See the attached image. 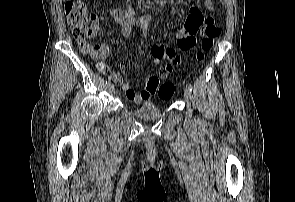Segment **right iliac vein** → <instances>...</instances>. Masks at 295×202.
Here are the masks:
<instances>
[{"label":"right iliac vein","instance_id":"1","mask_svg":"<svg viewBox=\"0 0 295 202\" xmlns=\"http://www.w3.org/2000/svg\"><path fill=\"white\" fill-rule=\"evenodd\" d=\"M108 89L111 90V91H114L115 90V87L113 84H110L108 85Z\"/></svg>","mask_w":295,"mask_h":202}]
</instances>
